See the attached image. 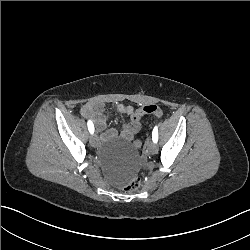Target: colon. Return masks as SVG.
I'll use <instances>...</instances> for the list:
<instances>
[{
  "label": "colon",
  "mask_w": 250,
  "mask_h": 250,
  "mask_svg": "<svg viewBox=\"0 0 250 250\" xmlns=\"http://www.w3.org/2000/svg\"><path fill=\"white\" fill-rule=\"evenodd\" d=\"M149 113H154V115L157 117L163 116V111L161 109H158V107L155 105H150V106H146L144 108H140L139 110L134 111L131 114V119L137 122L140 120V118L143 115H147ZM133 145L135 148H140L142 145V142L139 139H136L133 142ZM140 184H141V179L139 177H134L130 184H128L127 186H125V185L122 186L120 190L124 194L127 192L133 193L135 191V188L138 187Z\"/></svg>",
  "instance_id": "colon-1"
}]
</instances>
